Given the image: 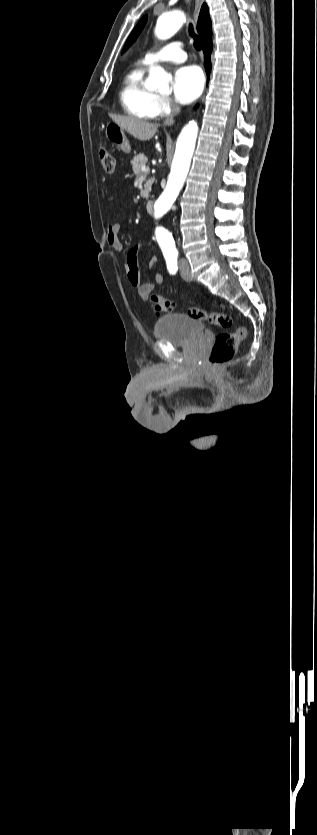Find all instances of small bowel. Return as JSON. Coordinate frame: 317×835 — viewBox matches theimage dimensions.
<instances>
[{
  "label": "small bowel",
  "instance_id": "obj_1",
  "mask_svg": "<svg viewBox=\"0 0 317 835\" xmlns=\"http://www.w3.org/2000/svg\"><path fill=\"white\" fill-rule=\"evenodd\" d=\"M107 244L115 251H123V244L120 240V224L112 222L108 225L106 233ZM138 247L131 248L127 253L126 271L128 279L132 286H134L139 295L145 296L154 289V284L148 281H143L138 270ZM157 265V259L151 258L148 263L150 270H154ZM155 283L161 285L164 282L163 275L160 271H155Z\"/></svg>",
  "mask_w": 317,
  "mask_h": 835
}]
</instances>
